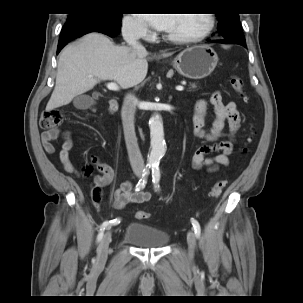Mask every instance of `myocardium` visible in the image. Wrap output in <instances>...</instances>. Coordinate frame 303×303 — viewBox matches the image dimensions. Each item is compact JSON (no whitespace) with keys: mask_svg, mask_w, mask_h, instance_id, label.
<instances>
[{"mask_svg":"<svg viewBox=\"0 0 303 303\" xmlns=\"http://www.w3.org/2000/svg\"><path fill=\"white\" fill-rule=\"evenodd\" d=\"M207 16V25L206 27L199 33L193 35L186 36H177L170 33H166V38L172 42L176 43H191L197 42L205 38L210 32L213 30L215 26V17L213 14H205Z\"/></svg>","mask_w":303,"mask_h":303,"instance_id":"obj_1","label":"myocardium"}]
</instances>
